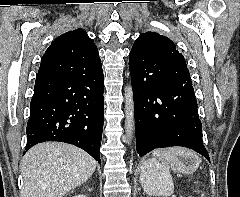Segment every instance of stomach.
<instances>
[{
    "mask_svg": "<svg viewBox=\"0 0 240 197\" xmlns=\"http://www.w3.org/2000/svg\"><path fill=\"white\" fill-rule=\"evenodd\" d=\"M199 162L200 161L197 159V157H186L179 155L170 165L177 172L191 174L197 170L199 167Z\"/></svg>",
    "mask_w": 240,
    "mask_h": 197,
    "instance_id": "stomach-1",
    "label": "stomach"
}]
</instances>
